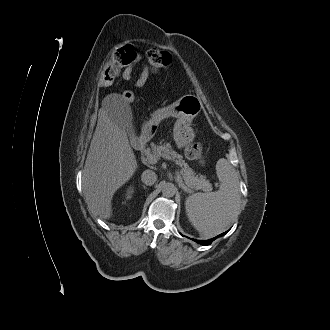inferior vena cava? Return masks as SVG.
Wrapping results in <instances>:
<instances>
[{
    "instance_id": "inferior-vena-cava-1",
    "label": "inferior vena cava",
    "mask_w": 330,
    "mask_h": 330,
    "mask_svg": "<svg viewBox=\"0 0 330 330\" xmlns=\"http://www.w3.org/2000/svg\"><path fill=\"white\" fill-rule=\"evenodd\" d=\"M141 181L147 186H151L157 181V175L152 170H145L141 175Z\"/></svg>"
}]
</instances>
